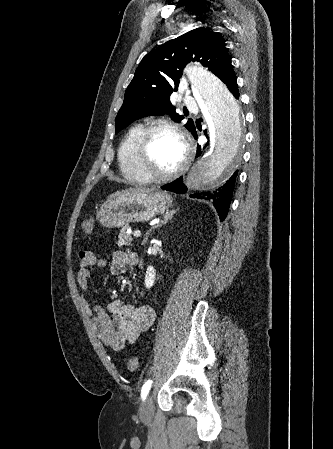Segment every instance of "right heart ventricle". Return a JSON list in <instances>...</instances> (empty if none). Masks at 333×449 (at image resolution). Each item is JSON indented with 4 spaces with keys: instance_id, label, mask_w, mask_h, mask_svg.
<instances>
[{
    "instance_id": "right-heart-ventricle-1",
    "label": "right heart ventricle",
    "mask_w": 333,
    "mask_h": 449,
    "mask_svg": "<svg viewBox=\"0 0 333 449\" xmlns=\"http://www.w3.org/2000/svg\"><path fill=\"white\" fill-rule=\"evenodd\" d=\"M144 128L145 126L141 123L132 125L118 148V162L123 176L139 183L149 182L139 172L136 163V144Z\"/></svg>"
}]
</instances>
